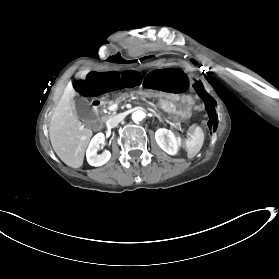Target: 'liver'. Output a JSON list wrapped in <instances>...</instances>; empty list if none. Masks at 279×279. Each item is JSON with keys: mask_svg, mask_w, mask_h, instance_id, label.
<instances>
[{"mask_svg": "<svg viewBox=\"0 0 279 279\" xmlns=\"http://www.w3.org/2000/svg\"><path fill=\"white\" fill-rule=\"evenodd\" d=\"M84 80V74L76 76ZM72 84H68L61 99L52 110L49 125L50 142L57 156L69 167L79 168L83 164L84 152L93 131L78 120L74 98L77 96Z\"/></svg>", "mask_w": 279, "mask_h": 279, "instance_id": "liver-1", "label": "liver"}]
</instances>
